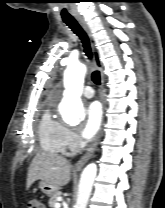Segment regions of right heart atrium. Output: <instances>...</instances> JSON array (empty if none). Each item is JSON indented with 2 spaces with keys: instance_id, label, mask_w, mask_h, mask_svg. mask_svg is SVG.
<instances>
[{
  "instance_id": "right-heart-atrium-1",
  "label": "right heart atrium",
  "mask_w": 165,
  "mask_h": 208,
  "mask_svg": "<svg viewBox=\"0 0 165 208\" xmlns=\"http://www.w3.org/2000/svg\"><path fill=\"white\" fill-rule=\"evenodd\" d=\"M66 145L69 151H74L79 146V139L70 128H66Z\"/></svg>"
}]
</instances>
